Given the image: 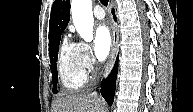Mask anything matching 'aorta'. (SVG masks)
<instances>
[{"label":"aorta","instance_id":"1","mask_svg":"<svg viewBox=\"0 0 193 112\" xmlns=\"http://www.w3.org/2000/svg\"><path fill=\"white\" fill-rule=\"evenodd\" d=\"M71 14L79 36L86 42L93 39L94 18L91 0H72Z\"/></svg>","mask_w":193,"mask_h":112}]
</instances>
